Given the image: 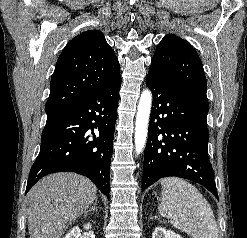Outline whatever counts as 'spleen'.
<instances>
[{
    "label": "spleen",
    "instance_id": "1",
    "mask_svg": "<svg viewBox=\"0 0 247 238\" xmlns=\"http://www.w3.org/2000/svg\"><path fill=\"white\" fill-rule=\"evenodd\" d=\"M162 185L159 214L192 238H218V227L208 201L189 182L167 177Z\"/></svg>",
    "mask_w": 247,
    "mask_h": 238
}]
</instances>
